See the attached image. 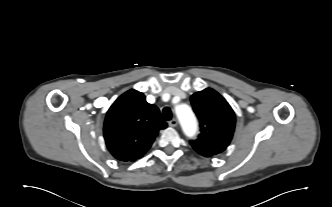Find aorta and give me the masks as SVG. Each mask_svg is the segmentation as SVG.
I'll return each mask as SVG.
<instances>
[{"instance_id":"762f6f07","label":"aorta","mask_w":332,"mask_h":207,"mask_svg":"<svg viewBox=\"0 0 332 207\" xmlns=\"http://www.w3.org/2000/svg\"><path fill=\"white\" fill-rule=\"evenodd\" d=\"M175 112L184 133L188 137L194 136L197 130V121L191 108L186 104H181L176 106Z\"/></svg>"}]
</instances>
